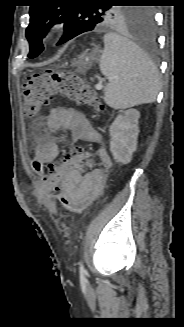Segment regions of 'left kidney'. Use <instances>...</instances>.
<instances>
[{
	"label": "left kidney",
	"instance_id": "1",
	"mask_svg": "<svg viewBox=\"0 0 184 327\" xmlns=\"http://www.w3.org/2000/svg\"><path fill=\"white\" fill-rule=\"evenodd\" d=\"M140 113L136 109H128L119 114L111 124L110 150L116 162L128 164L137 148L139 134L138 119Z\"/></svg>",
	"mask_w": 184,
	"mask_h": 327
}]
</instances>
